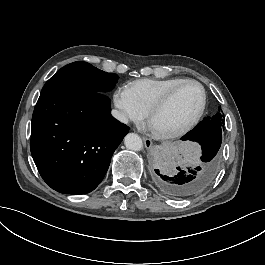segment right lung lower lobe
Masks as SVG:
<instances>
[{"instance_id":"right-lung-lower-lobe-1","label":"right lung lower lobe","mask_w":265,"mask_h":265,"mask_svg":"<svg viewBox=\"0 0 265 265\" xmlns=\"http://www.w3.org/2000/svg\"><path fill=\"white\" fill-rule=\"evenodd\" d=\"M110 110V99L102 93L41 92L32 116L30 148L51 188L86 194L102 181L129 130Z\"/></svg>"}]
</instances>
